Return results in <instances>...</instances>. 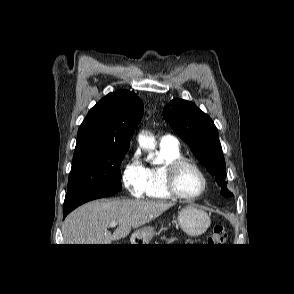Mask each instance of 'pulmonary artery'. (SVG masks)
Segmentation results:
<instances>
[{
  "label": "pulmonary artery",
  "mask_w": 294,
  "mask_h": 294,
  "mask_svg": "<svg viewBox=\"0 0 294 294\" xmlns=\"http://www.w3.org/2000/svg\"><path fill=\"white\" fill-rule=\"evenodd\" d=\"M159 145L160 146H165V147L176 148V147H178V141L172 135H164V136H162L160 138Z\"/></svg>",
  "instance_id": "obj_1"
}]
</instances>
